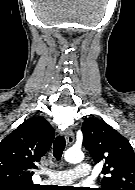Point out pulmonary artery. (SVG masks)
I'll return each mask as SVG.
<instances>
[{"instance_id": "1", "label": "pulmonary artery", "mask_w": 135, "mask_h": 190, "mask_svg": "<svg viewBox=\"0 0 135 190\" xmlns=\"http://www.w3.org/2000/svg\"><path fill=\"white\" fill-rule=\"evenodd\" d=\"M90 171V165L82 162L78 163L72 170L47 171L46 174L48 175V179L44 182L57 185L69 184L78 178H89Z\"/></svg>"}]
</instances>
